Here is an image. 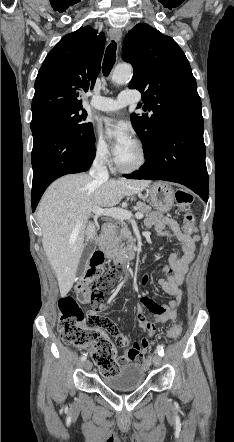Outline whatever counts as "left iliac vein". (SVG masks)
Wrapping results in <instances>:
<instances>
[{"mask_svg":"<svg viewBox=\"0 0 234 442\" xmlns=\"http://www.w3.org/2000/svg\"><path fill=\"white\" fill-rule=\"evenodd\" d=\"M153 364L156 366V367H159V366H161V364H162V358H161V356L159 355V354H155L154 355V357H153Z\"/></svg>","mask_w":234,"mask_h":442,"instance_id":"obj_1","label":"left iliac vein"}]
</instances>
